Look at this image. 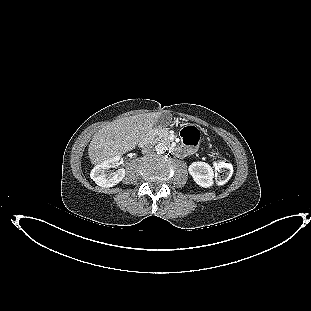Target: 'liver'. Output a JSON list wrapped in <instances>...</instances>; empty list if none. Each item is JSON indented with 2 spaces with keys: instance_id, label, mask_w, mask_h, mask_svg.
Returning a JSON list of instances; mask_svg holds the SVG:
<instances>
[{
  "instance_id": "obj_1",
  "label": "liver",
  "mask_w": 311,
  "mask_h": 311,
  "mask_svg": "<svg viewBox=\"0 0 311 311\" xmlns=\"http://www.w3.org/2000/svg\"><path fill=\"white\" fill-rule=\"evenodd\" d=\"M159 116L160 113L151 112L108 123L94 134L90 142L88 154L91 163L98 165L135 148L156 124Z\"/></svg>"
}]
</instances>
